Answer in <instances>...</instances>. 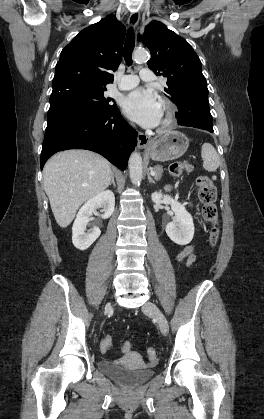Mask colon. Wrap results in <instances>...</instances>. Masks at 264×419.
Returning a JSON list of instances; mask_svg holds the SVG:
<instances>
[{
  "label": "colon",
  "mask_w": 264,
  "mask_h": 419,
  "mask_svg": "<svg viewBox=\"0 0 264 419\" xmlns=\"http://www.w3.org/2000/svg\"><path fill=\"white\" fill-rule=\"evenodd\" d=\"M191 165L187 162H173L168 166V172L172 176H179L184 172L191 171ZM198 198L202 204V216L205 221L212 225L210 230V243L215 245L218 240V210L216 207L217 191L212 180L209 177L201 176L197 179ZM113 342L110 336H105L101 342V348L104 352L112 348ZM124 350H130V343L126 342L123 345ZM156 351L154 348L147 349V357L149 360L156 358Z\"/></svg>",
  "instance_id": "obj_1"
}]
</instances>
